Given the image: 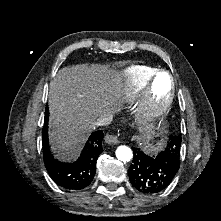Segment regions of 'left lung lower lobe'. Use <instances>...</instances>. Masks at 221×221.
<instances>
[{
    "mask_svg": "<svg viewBox=\"0 0 221 221\" xmlns=\"http://www.w3.org/2000/svg\"><path fill=\"white\" fill-rule=\"evenodd\" d=\"M181 135L170 136L166 148L152 156L138 148L128 170L132 185L140 192L154 194L164 190L180 167Z\"/></svg>",
    "mask_w": 221,
    "mask_h": 221,
    "instance_id": "left-lung-lower-lobe-1",
    "label": "left lung lower lobe"
}]
</instances>
